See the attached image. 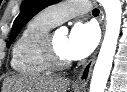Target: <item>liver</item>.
<instances>
[{"label": "liver", "mask_w": 127, "mask_h": 92, "mask_svg": "<svg viewBox=\"0 0 127 92\" xmlns=\"http://www.w3.org/2000/svg\"><path fill=\"white\" fill-rule=\"evenodd\" d=\"M68 87L61 77L14 75L5 79L3 92H67Z\"/></svg>", "instance_id": "1"}]
</instances>
